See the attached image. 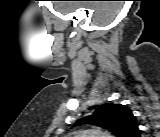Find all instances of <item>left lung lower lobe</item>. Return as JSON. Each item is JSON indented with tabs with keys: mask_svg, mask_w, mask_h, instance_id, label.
<instances>
[{
	"mask_svg": "<svg viewBox=\"0 0 160 137\" xmlns=\"http://www.w3.org/2000/svg\"><path fill=\"white\" fill-rule=\"evenodd\" d=\"M130 137H140V131L136 128L130 135Z\"/></svg>",
	"mask_w": 160,
	"mask_h": 137,
	"instance_id": "1",
	"label": "left lung lower lobe"
}]
</instances>
